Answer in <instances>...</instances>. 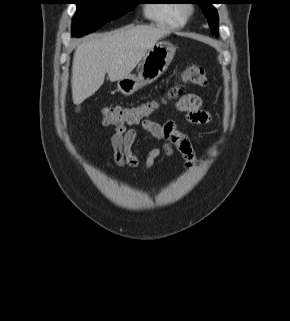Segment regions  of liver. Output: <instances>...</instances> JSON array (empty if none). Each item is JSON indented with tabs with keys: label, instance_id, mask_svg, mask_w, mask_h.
Returning <instances> with one entry per match:
<instances>
[{
	"label": "liver",
	"instance_id": "obj_1",
	"mask_svg": "<svg viewBox=\"0 0 290 321\" xmlns=\"http://www.w3.org/2000/svg\"><path fill=\"white\" fill-rule=\"evenodd\" d=\"M168 29L156 26H127L84 40L75 49L72 64V98L76 105L92 96L104 83L128 76L147 51Z\"/></svg>",
	"mask_w": 290,
	"mask_h": 321
}]
</instances>
